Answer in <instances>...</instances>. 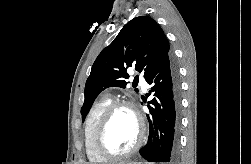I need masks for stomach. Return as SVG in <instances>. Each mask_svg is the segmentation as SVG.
Returning <instances> with one entry per match:
<instances>
[{"label":"stomach","instance_id":"1","mask_svg":"<svg viewBox=\"0 0 251 164\" xmlns=\"http://www.w3.org/2000/svg\"><path fill=\"white\" fill-rule=\"evenodd\" d=\"M119 164H142V163H140V162H127V163L122 162V163H119Z\"/></svg>","mask_w":251,"mask_h":164}]
</instances>
